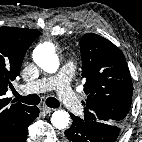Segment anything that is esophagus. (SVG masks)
Here are the masks:
<instances>
[{"label": "esophagus", "instance_id": "obj_1", "mask_svg": "<svg viewBox=\"0 0 142 142\" xmlns=\"http://www.w3.org/2000/svg\"><path fill=\"white\" fill-rule=\"evenodd\" d=\"M42 110L45 112V113H51L54 111L53 108H49L47 106H42Z\"/></svg>", "mask_w": 142, "mask_h": 142}]
</instances>
